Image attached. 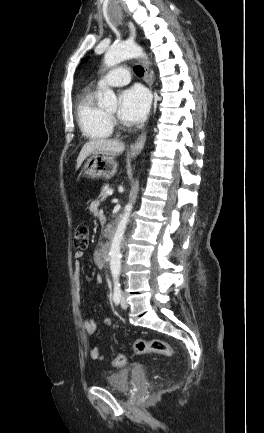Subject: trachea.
I'll use <instances>...</instances> for the list:
<instances>
[{
	"label": "trachea",
	"instance_id": "3493384b",
	"mask_svg": "<svg viewBox=\"0 0 264 433\" xmlns=\"http://www.w3.org/2000/svg\"><path fill=\"white\" fill-rule=\"evenodd\" d=\"M135 73H136L138 76L142 77V76H143V69H142L140 66H136V67H135Z\"/></svg>",
	"mask_w": 264,
	"mask_h": 433
}]
</instances>
